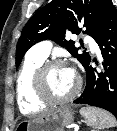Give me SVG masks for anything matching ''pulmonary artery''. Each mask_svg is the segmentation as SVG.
Listing matches in <instances>:
<instances>
[{"mask_svg":"<svg viewBox=\"0 0 117 131\" xmlns=\"http://www.w3.org/2000/svg\"><path fill=\"white\" fill-rule=\"evenodd\" d=\"M85 42L89 43L92 51L94 52H98V46L97 44L92 40L91 37L86 36L85 37ZM50 49H51V44L47 41L38 43L37 45H35L34 47H32L27 56L28 58H35V59H42L45 60L49 53H50Z\"/></svg>","mask_w":117,"mask_h":131,"instance_id":"pulmonary-artery-1","label":"pulmonary artery"}]
</instances>
